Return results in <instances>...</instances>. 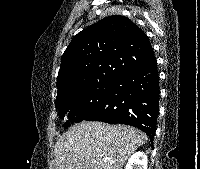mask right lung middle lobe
<instances>
[{"mask_svg":"<svg viewBox=\"0 0 200 169\" xmlns=\"http://www.w3.org/2000/svg\"><path fill=\"white\" fill-rule=\"evenodd\" d=\"M115 82L116 79H103L71 96L56 100L55 107L59 109L60 118L65 120L64 127L81 122L96 111Z\"/></svg>","mask_w":200,"mask_h":169,"instance_id":"1","label":"right lung middle lobe"}]
</instances>
